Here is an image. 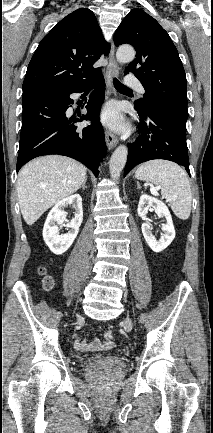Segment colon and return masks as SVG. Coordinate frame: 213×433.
Returning a JSON list of instances; mask_svg holds the SVG:
<instances>
[{
	"label": "colon",
	"instance_id": "5ec220e1",
	"mask_svg": "<svg viewBox=\"0 0 213 433\" xmlns=\"http://www.w3.org/2000/svg\"><path fill=\"white\" fill-rule=\"evenodd\" d=\"M40 272L44 273V269H40ZM43 283H44V287L46 289H50L53 286V281H52V279L49 276H45L44 277ZM103 337H104V340L106 342H112L113 338H114V335H113V333L111 331H105L104 334H103Z\"/></svg>",
	"mask_w": 213,
	"mask_h": 433
}]
</instances>
